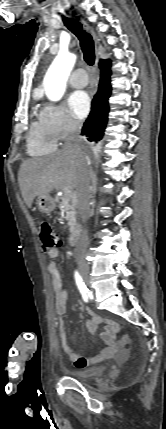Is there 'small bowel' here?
<instances>
[{
	"instance_id": "obj_1",
	"label": "small bowel",
	"mask_w": 166,
	"mask_h": 429,
	"mask_svg": "<svg viewBox=\"0 0 166 429\" xmlns=\"http://www.w3.org/2000/svg\"><path fill=\"white\" fill-rule=\"evenodd\" d=\"M47 253L53 259L59 256L58 248H54ZM48 271L52 277V291L55 300V311L60 317L58 320V328L61 345L65 355L79 369L87 368L114 356H124L126 354V350L123 348V346L116 343L117 325L111 320L102 318L100 315L94 313L90 309H87L89 318L85 323L86 329L90 333H94L100 324H104L103 331L100 334L104 348L94 355L82 356L79 355L75 349L68 344L65 323L61 316H63L66 312V303L69 297V291L63 285L58 266L54 261H51L48 264Z\"/></svg>"
}]
</instances>
